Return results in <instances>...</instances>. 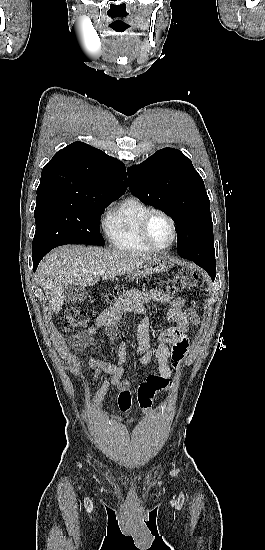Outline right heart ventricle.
<instances>
[{
    "label": "right heart ventricle",
    "instance_id": "right-heart-ventricle-1",
    "mask_svg": "<svg viewBox=\"0 0 265 550\" xmlns=\"http://www.w3.org/2000/svg\"><path fill=\"white\" fill-rule=\"evenodd\" d=\"M150 209L143 200L129 197L109 212L104 228L110 244L123 252H150L140 234L141 219Z\"/></svg>",
    "mask_w": 265,
    "mask_h": 550
}]
</instances>
